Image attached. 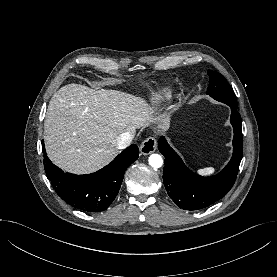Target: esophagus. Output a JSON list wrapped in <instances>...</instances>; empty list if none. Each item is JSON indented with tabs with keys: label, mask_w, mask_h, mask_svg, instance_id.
<instances>
[{
	"label": "esophagus",
	"mask_w": 277,
	"mask_h": 277,
	"mask_svg": "<svg viewBox=\"0 0 277 277\" xmlns=\"http://www.w3.org/2000/svg\"><path fill=\"white\" fill-rule=\"evenodd\" d=\"M157 148V141L154 137H148L140 145V153L142 155H148L153 153Z\"/></svg>",
	"instance_id": "34e87169"
}]
</instances>
